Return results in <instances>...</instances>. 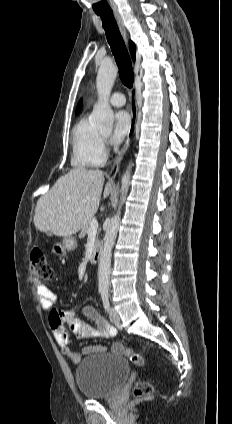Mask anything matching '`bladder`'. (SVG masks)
I'll return each mask as SVG.
<instances>
[{
	"label": "bladder",
	"mask_w": 232,
	"mask_h": 424,
	"mask_svg": "<svg viewBox=\"0 0 232 424\" xmlns=\"http://www.w3.org/2000/svg\"><path fill=\"white\" fill-rule=\"evenodd\" d=\"M131 375L129 362L107 353H96L84 358L75 371L80 394L87 399L113 396Z\"/></svg>",
	"instance_id": "obj_1"
}]
</instances>
